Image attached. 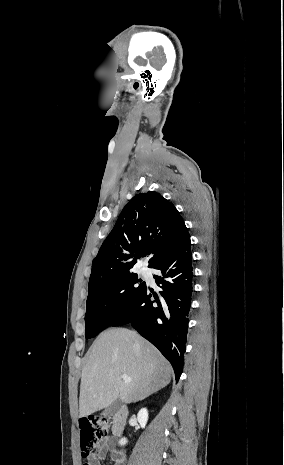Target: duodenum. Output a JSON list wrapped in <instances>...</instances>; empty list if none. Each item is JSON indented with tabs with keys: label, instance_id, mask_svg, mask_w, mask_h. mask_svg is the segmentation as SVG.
<instances>
[{
	"label": "duodenum",
	"instance_id": "1",
	"mask_svg": "<svg viewBox=\"0 0 284 465\" xmlns=\"http://www.w3.org/2000/svg\"><path fill=\"white\" fill-rule=\"evenodd\" d=\"M128 417V409L125 406H119L112 413V436L120 437L125 429Z\"/></svg>",
	"mask_w": 284,
	"mask_h": 465
}]
</instances>
